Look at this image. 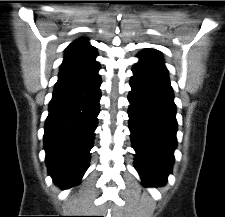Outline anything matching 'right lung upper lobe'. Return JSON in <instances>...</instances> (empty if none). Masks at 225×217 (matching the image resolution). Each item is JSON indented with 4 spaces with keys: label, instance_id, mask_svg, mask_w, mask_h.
<instances>
[{
    "label": "right lung upper lobe",
    "instance_id": "obj_1",
    "mask_svg": "<svg viewBox=\"0 0 225 217\" xmlns=\"http://www.w3.org/2000/svg\"><path fill=\"white\" fill-rule=\"evenodd\" d=\"M96 56V49L86 39L72 42L65 50L56 86L88 82L99 77Z\"/></svg>",
    "mask_w": 225,
    "mask_h": 217
}]
</instances>
